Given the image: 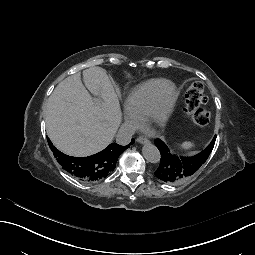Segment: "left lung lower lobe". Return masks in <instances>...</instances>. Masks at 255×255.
<instances>
[{"mask_svg":"<svg viewBox=\"0 0 255 255\" xmlns=\"http://www.w3.org/2000/svg\"><path fill=\"white\" fill-rule=\"evenodd\" d=\"M207 147L202 148L198 153L193 155H174L168 148L166 141L155 139V146L160 153L157 160L159 166L153 175L166 183H182L185 179L194 175L199 168L205 164L207 158L210 157L211 151L216 146L217 138L212 136Z\"/></svg>","mask_w":255,"mask_h":255,"instance_id":"0a47b994","label":"left lung lower lobe"}]
</instances>
